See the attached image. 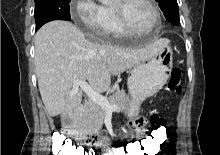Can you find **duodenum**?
I'll list each match as a JSON object with an SVG mask.
<instances>
[{
    "label": "duodenum",
    "instance_id": "obj_1",
    "mask_svg": "<svg viewBox=\"0 0 220 155\" xmlns=\"http://www.w3.org/2000/svg\"><path fill=\"white\" fill-rule=\"evenodd\" d=\"M85 111V108L83 105H78L74 109H72L65 117V129L67 135L74 139L76 142L83 144L86 140L85 137L80 135L75 128L71 125L72 120H78L81 118Z\"/></svg>",
    "mask_w": 220,
    "mask_h": 155
}]
</instances>
